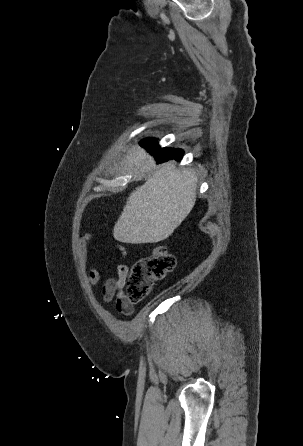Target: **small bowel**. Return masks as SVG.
Returning <instances> with one entry per match:
<instances>
[{
    "instance_id": "obj_1",
    "label": "small bowel",
    "mask_w": 303,
    "mask_h": 446,
    "mask_svg": "<svg viewBox=\"0 0 303 446\" xmlns=\"http://www.w3.org/2000/svg\"><path fill=\"white\" fill-rule=\"evenodd\" d=\"M96 240L93 233L84 234L78 244L80 263L83 269L86 268L89 258V252ZM122 256L126 255V250L122 245H118ZM117 275L106 279L102 286L101 298L104 302L109 303L114 298L116 299V309L123 315H130L133 312L132 304L127 303L124 293L129 269L124 264H118L116 267ZM101 275L96 267H91L87 274V282L89 285H97L100 281Z\"/></svg>"
}]
</instances>
